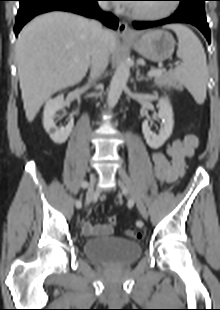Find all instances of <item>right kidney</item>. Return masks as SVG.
I'll return each mask as SVG.
<instances>
[{
	"label": "right kidney",
	"mask_w": 220,
	"mask_h": 310,
	"mask_svg": "<svg viewBox=\"0 0 220 310\" xmlns=\"http://www.w3.org/2000/svg\"><path fill=\"white\" fill-rule=\"evenodd\" d=\"M65 101L63 95H58L54 99H48L45 103L43 112V127L55 144H63L68 139L74 126L73 117L65 127L58 128L54 121L56 112L63 109Z\"/></svg>",
	"instance_id": "1"
}]
</instances>
